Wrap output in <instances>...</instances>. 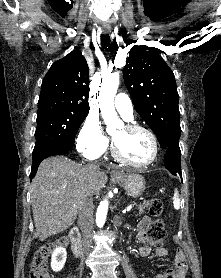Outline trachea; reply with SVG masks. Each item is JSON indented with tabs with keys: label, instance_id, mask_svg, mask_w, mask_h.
I'll return each mask as SVG.
<instances>
[{
	"label": "trachea",
	"instance_id": "trachea-1",
	"mask_svg": "<svg viewBox=\"0 0 221 278\" xmlns=\"http://www.w3.org/2000/svg\"><path fill=\"white\" fill-rule=\"evenodd\" d=\"M101 44L103 48H107L110 45V36L109 34H102L101 35Z\"/></svg>",
	"mask_w": 221,
	"mask_h": 278
}]
</instances>
